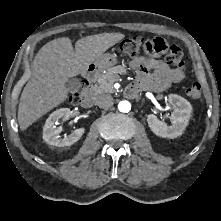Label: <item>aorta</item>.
Instances as JSON below:
<instances>
[{
  "label": "aorta",
  "mask_w": 221,
  "mask_h": 221,
  "mask_svg": "<svg viewBox=\"0 0 221 221\" xmlns=\"http://www.w3.org/2000/svg\"><path fill=\"white\" fill-rule=\"evenodd\" d=\"M118 109L120 112L127 113L131 110V104L127 100L120 101L118 104Z\"/></svg>",
  "instance_id": "1"
}]
</instances>
